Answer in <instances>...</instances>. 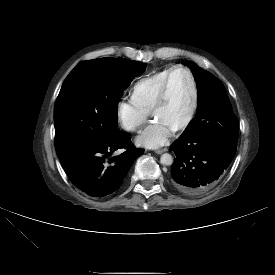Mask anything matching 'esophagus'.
<instances>
[{"label":"esophagus","mask_w":275,"mask_h":275,"mask_svg":"<svg viewBox=\"0 0 275 275\" xmlns=\"http://www.w3.org/2000/svg\"><path fill=\"white\" fill-rule=\"evenodd\" d=\"M166 151H167V148H164V149L156 150L155 153L156 154H162V153H164Z\"/></svg>","instance_id":"obj_1"}]
</instances>
